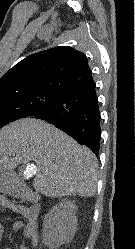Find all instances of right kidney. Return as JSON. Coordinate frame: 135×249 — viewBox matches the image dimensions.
Wrapping results in <instances>:
<instances>
[{"label":"right kidney","mask_w":135,"mask_h":249,"mask_svg":"<svg viewBox=\"0 0 135 249\" xmlns=\"http://www.w3.org/2000/svg\"><path fill=\"white\" fill-rule=\"evenodd\" d=\"M75 202L64 199L56 204L43 221L42 241L49 249L69 242L77 229Z\"/></svg>","instance_id":"obj_1"}]
</instances>
